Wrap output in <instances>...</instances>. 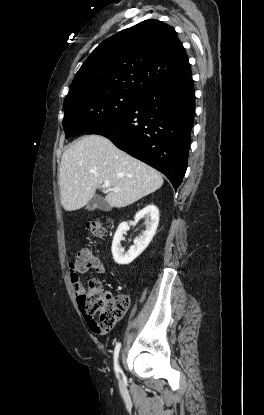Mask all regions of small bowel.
<instances>
[{
	"instance_id": "1",
	"label": "small bowel",
	"mask_w": 264,
	"mask_h": 415,
	"mask_svg": "<svg viewBox=\"0 0 264 415\" xmlns=\"http://www.w3.org/2000/svg\"><path fill=\"white\" fill-rule=\"evenodd\" d=\"M95 269L98 273H104L105 267L104 264L101 261H97ZM85 272V268H81L77 270L75 273L70 271V279L72 283L73 290L80 295L83 289L81 280H80V274ZM93 331L97 334L104 335L106 334L105 329H93Z\"/></svg>"
}]
</instances>
